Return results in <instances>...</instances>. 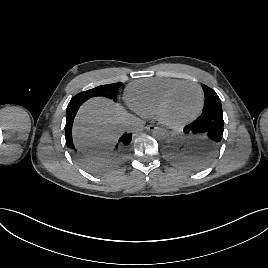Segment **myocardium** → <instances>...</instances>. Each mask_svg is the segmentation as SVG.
<instances>
[{
    "label": "myocardium",
    "mask_w": 268,
    "mask_h": 268,
    "mask_svg": "<svg viewBox=\"0 0 268 268\" xmlns=\"http://www.w3.org/2000/svg\"><path fill=\"white\" fill-rule=\"evenodd\" d=\"M186 86H193L195 88L198 89L199 91V95H200V99H199V104L196 108V110L188 117L180 119V120H170L165 116V111H166V107L170 101V99L173 97V95L180 90L183 87ZM204 104V92L203 89L201 88V86L195 82H190V81H185L182 82L180 84H177L176 86L172 87L162 98L158 110H157V118L159 120L160 123H162L163 125L169 127V128H173V129H179L183 126H185L186 124L192 122L201 112L202 107Z\"/></svg>",
    "instance_id": "f54148a6"
}]
</instances>
